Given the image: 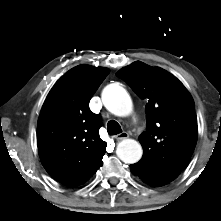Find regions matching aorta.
<instances>
[{
	"label": "aorta",
	"instance_id": "762f6f07",
	"mask_svg": "<svg viewBox=\"0 0 221 221\" xmlns=\"http://www.w3.org/2000/svg\"><path fill=\"white\" fill-rule=\"evenodd\" d=\"M102 102L107 110L116 116L125 117L132 113L133 104L130 95L117 83L107 85L102 91ZM117 156L125 163L138 162L143 154L141 145L133 139L121 141L116 150Z\"/></svg>",
	"mask_w": 221,
	"mask_h": 221
}]
</instances>
